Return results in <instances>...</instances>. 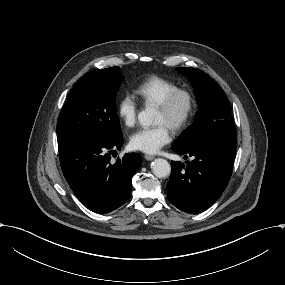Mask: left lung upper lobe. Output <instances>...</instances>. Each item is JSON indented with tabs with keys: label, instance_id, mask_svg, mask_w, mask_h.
I'll use <instances>...</instances> for the list:
<instances>
[{
	"label": "left lung upper lobe",
	"instance_id": "obj_1",
	"mask_svg": "<svg viewBox=\"0 0 285 285\" xmlns=\"http://www.w3.org/2000/svg\"><path fill=\"white\" fill-rule=\"evenodd\" d=\"M192 83L198 103L195 122L175 142L172 149L186 152L197 144L221 134H236L228 98L222 88L205 72L178 67Z\"/></svg>",
	"mask_w": 285,
	"mask_h": 285
}]
</instances>
